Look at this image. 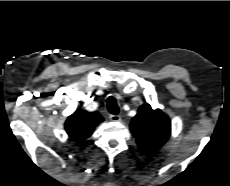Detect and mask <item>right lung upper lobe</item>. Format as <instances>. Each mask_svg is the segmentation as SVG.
Segmentation results:
<instances>
[{"mask_svg": "<svg viewBox=\"0 0 230 186\" xmlns=\"http://www.w3.org/2000/svg\"><path fill=\"white\" fill-rule=\"evenodd\" d=\"M102 121L103 118L99 113L78 109L66 120L65 129L71 139L82 141L88 138Z\"/></svg>", "mask_w": 230, "mask_h": 186, "instance_id": "1", "label": "right lung upper lobe"}]
</instances>
